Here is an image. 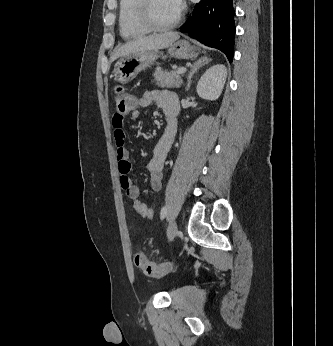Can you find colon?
<instances>
[{
  "instance_id": "1",
  "label": "colon",
  "mask_w": 333,
  "mask_h": 346,
  "mask_svg": "<svg viewBox=\"0 0 333 346\" xmlns=\"http://www.w3.org/2000/svg\"><path fill=\"white\" fill-rule=\"evenodd\" d=\"M135 103L136 101L131 93L125 91L122 87H117L115 89L116 113L114 116H120L124 119V117L135 107ZM134 262L143 274L149 277H162L171 270L170 263H156L149 261L141 252L135 254Z\"/></svg>"
}]
</instances>
